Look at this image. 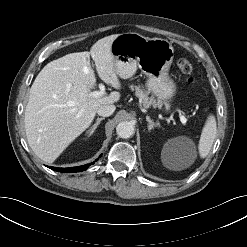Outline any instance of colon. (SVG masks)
<instances>
[{"label": "colon", "instance_id": "colon-1", "mask_svg": "<svg viewBox=\"0 0 247 247\" xmlns=\"http://www.w3.org/2000/svg\"><path fill=\"white\" fill-rule=\"evenodd\" d=\"M178 67L181 73L186 77L187 82L192 83L194 81V78L192 76L191 64L187 60L182 59L179 61Z\"/></svg>", "mask_w": 247, "mask_h": 247}]
</instances>
